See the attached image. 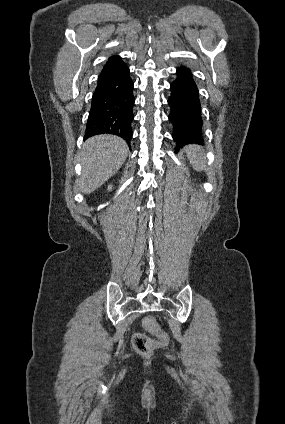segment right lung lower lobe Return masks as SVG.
<instances>
[{"label": "right lung lower lobe", "mask_w": 285, "mask_h": 424, "mask_svg": "<svg viewBox=\"0 0 285 424\" xmlns=\"http://www.w3.org/2000/svg\"><path fill=\"white\" fill-rule=\"evenodd\" d=\"M133 87L129 68L120 57L105 64L92 97L85 138L108 133L130 144L135 102Z\"/></svg>", "instance_id": "98d812e1"}]
</instances>
